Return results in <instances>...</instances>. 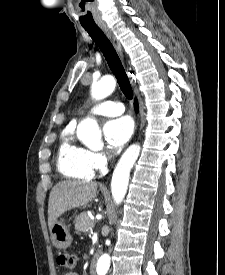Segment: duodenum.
I'll return each mask as SVG.
<instances>
[{"mask_svg":"<svg viewBox=\"0 0 225 275\" xmlns=\"http://www.w3.org/2000/svg\"><path fill=\"white\" fill-rule=\"evenodd\" d=\"M95 267H96V262L93 259L91 264H90V274L93 275L95 273Z\"/></svg>","mask_w":225,"mask_h":275,"instance_id":"410a0bca","label":"duodenum"}]
</instances>
